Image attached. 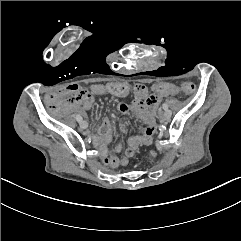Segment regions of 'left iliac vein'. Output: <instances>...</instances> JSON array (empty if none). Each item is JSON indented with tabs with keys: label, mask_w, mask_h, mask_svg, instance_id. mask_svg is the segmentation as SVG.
<instances>
[{
	"label": "left iliac vein",
	"mask_w": 241,
	"mask_h": 241,
	"mask_svg": "<svg viewBox=\"0 0 241 241\" xmlns=\"http://www.w3.org/2000/svg\"><path fill=\"white\" fill-rule=\"evenodd\" d=\"M171 117V111L166 109L164 112L161 113V119L164 122H167Z\"/></svg>",
	"instance_id": "obj_1"
}]
</instances>
